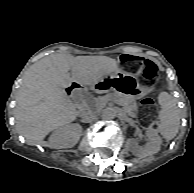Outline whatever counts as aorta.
Masks as SVG:
<instances>
[{
  "label": "aorta",
  "mask_w": 194,
  "mask_h": 193,
  "mask_svg": "<svg viewBox=\"0 0 194 193\" xmlns=\"http://www.w3.org/2000/svg\"><path fill=\"white\" fill-rule=\"evenodd\" d=\"M118 115V111L114 108H106L104 111H103V117L105 119H113L115 118L116 116Z\"/></svg>",
  "instance_id": "1"
}]
</instances>
